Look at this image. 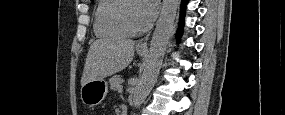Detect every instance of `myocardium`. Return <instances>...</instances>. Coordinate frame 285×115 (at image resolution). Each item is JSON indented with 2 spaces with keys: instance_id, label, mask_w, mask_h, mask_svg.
I'll use <instances>...</instances> for the list:
<instances>
[{
  "instance_id": "1",
  "label": "myocardium",
  "mask_w": 285,
  "mask_h": 115,
  "mask_svg": "<svg viewBox=\"0 0 285 115\" xmlns=\"http://www.w3.org/2000/svg\"><path fill=\"white\" fill-rule=\"evenodd\" d=\"M132 2H135L133 0H124L122 2V4L120 5L119 7V10H118V14H117V19H118V22L120 23V25L124 28L125 31H127L129 34H138V33H141V32H144L146 30V26H143V27H140V28H135L133 27L127 16H126V10L129 6L130 3Z\"/></svg>"
}]
</instances>
